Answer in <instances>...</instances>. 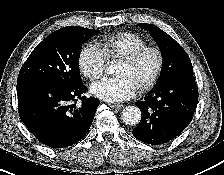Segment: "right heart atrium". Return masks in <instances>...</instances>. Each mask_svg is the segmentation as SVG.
Instances as JSON below:
<instances>
[{
	"label": "right heart atrium",
	"mask_w": 224,
	"mask_h": 175,
	"mask_svg": "<svg viewBox=\"0 0 224 175\" xmlns=\"http://www.w3.org/2000/svg\"><path fill=\"white\" fill-rule=\"evenodd\" d=\"M108 57L101 47L93 43L86 44L79 54V67L90 80L98 79L104 72Z\"/></svg>",
	"instance_id": "1"
}]
</instances>
